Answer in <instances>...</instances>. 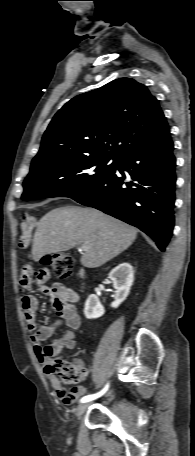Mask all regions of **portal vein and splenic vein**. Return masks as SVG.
Masks as SVG:
<instances>
[{
  "instance_id": "obj_1",
  "label": "portal vein and splenic vein",
  "mask_w": 195,
  "mask_h": 456,
  "mask_svg": "<svg viewBox=\"0 0 195 456\" xmlns=\"http://www.w3.org/2000/svg\"><path fill=\"white\" fill-rule=\"evenodd\" d=\"M85 248H86L85 246H83V245L81 246V249H82V250L85 249Z\"/></svg>"
}]
</instances>
